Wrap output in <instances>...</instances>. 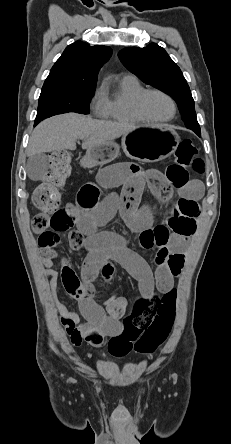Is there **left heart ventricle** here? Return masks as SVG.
<instances>
[{
    "label": "left heart ventricle",
    "mask_w": 231,
    "mask_h": 444,
    "mask_svg": "<svg viewBox=\"0 0 231 444\" xmlns=\"http://www.w3.org/2000/svg\"><path fill=\"white\" fill-rule=\"evenodd\" d=\"M145 112L154 119H166L172 114L170 101L160 94H150L144 101Z\"/></svg>",
    "instance_id": "b2bd125f"
}]
</instances>
